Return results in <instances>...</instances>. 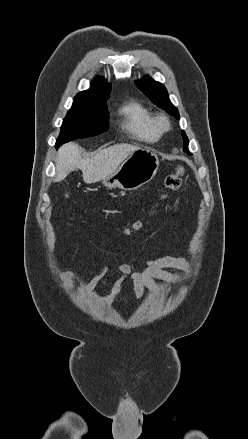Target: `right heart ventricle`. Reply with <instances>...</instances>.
<instances>
[{"label":"right heart ventricle","mask_w":248,"mask_h":439,"mask_svg":"<svg viewBox=\"0 0 248 439\" xmlns=\"http://www.w3.org/2000/svg\"><path fill=\"white\" fill-rule=\"evenodd\" d=\"M117 116L121 129L133 138L147 143L159 140L161 133L156 126L155 117L140 101H125L119 107Z\"/></svg>","instance_id":"1"}]
</instances>
